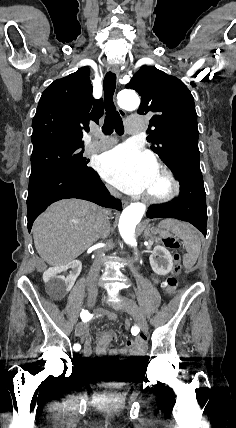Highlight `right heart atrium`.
Here are the masks:
<instances>
[{"instance_id":"d8ad5b80","label":"right heart atrium","mask_w":236,"mask_h":428,"mask_svg":"<svg viewBox=\"0 0 236 428\" xmlns=\"http://www.w3.org/2000/svg\"><path fill=\"white\" fill-rule=\"evenodd\" d=\"M107 191L111 194V195H115L116 192L109 186H106Z\"/></svg>"}]
</instances>
